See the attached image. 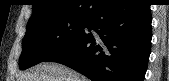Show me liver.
I'll use <instances>...</instances> for the list:
<instances>
[{
    "label": "liver",
    "mask_w": 169,
    "mask_h": 81,
    "mask_svg": "<svg viewBox=\"0 0 169 81\" xmlns=\"http://www.w3.org/2000/svg\"><path fill=\"white\" fill-rule=\"evenodd\" d=\"M17 81H88V79L60 63L43 62L21 74Z\"/></svg>",
    "instance_id": "liver-1"
}]
</instances>
